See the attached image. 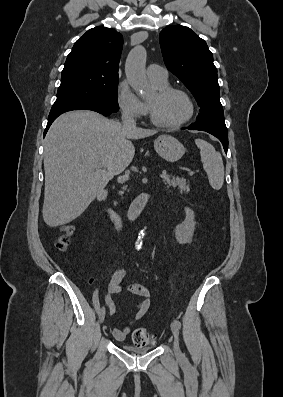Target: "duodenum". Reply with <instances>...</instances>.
<instances>
[{
	"instance_id": "1",
	"label": "duodenum",
	"mask_w": 283,
	"mask_h": 397,
	"mask_svg": "<svg viewBox=\"0 0 283 397\" xmlns=\"http://www.w3.org/2000/svg\"><path fill=\"white\" fill-rule=\"evenodd\" d=\"M98 202L109 220L116 228L122 227V218L116 210H114L107 202V190H102L98 194ZM149 196L146 193L139 195L131 204L129 209V217L131 220H136L147 208Z\"/></svg>"
}]
</instances>
